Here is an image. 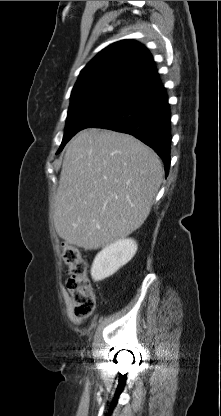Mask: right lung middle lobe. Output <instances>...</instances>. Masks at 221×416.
Returning a JSON list of instances; mask_svg holds the SVG:
<instances>
[{"mask_svg":"<svg viewBox=\"0 0 221 416\" xmlns=\"http://www.w3.org/2000/svg\"><path fill=\"white\" fill-rule=\"evenodd\" d=\"M126 96L125 92H97L72 99L59 152L74 134L97 125Z\"/></svg>","mask_w":221,"mask_h":416,"instance_id":"right-lung-middle-lobe-1","label":"right lung middle lobe"}]
</instances>
